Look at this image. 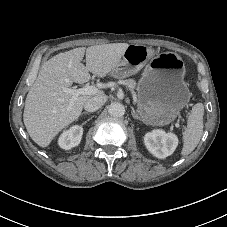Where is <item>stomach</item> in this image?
<instances>
[{
  "instance_id": "stomach-1",
  "label": "stomach",
  "mask_w": 227,
  "mask_h": 227,
  "mask_svg": "<svg viewBox=\"0 0 227 227\" xmlns=\"http://www.w3.org/2000/svg\"><path fill=\"white\" fill-rule=\"evenodd\" d=\"M143 68L137 85L140 119L149 125H168L190 99L188 84L184 81V62L176 53H161L154 57L152 48L131 44L111 76H131Z\"/></svg>"
}]
</instances>
